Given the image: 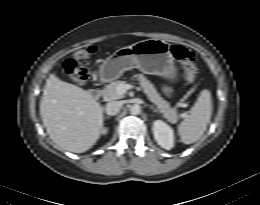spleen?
<instances>
[{
	"label": "spleen",
	"instance_id": "3e777b00",
	"mask_svg": "<svg viewBox=\"0 0 260 205\" xmlns=\"http://www.w3.org/2000/svg\"><path fill=\"white\" fill-rule=\"evenodd\" d=\"M212 113V99L209 90L204 89L188 112L186 118L179 124L178 132L184 144L196 142L206 131Z\"/></svg>",
	"mask_w": 260,
	"mask_h": 205
}]
</instances>
